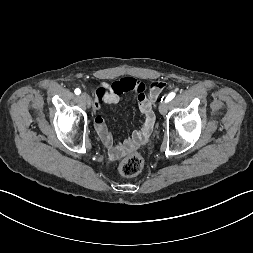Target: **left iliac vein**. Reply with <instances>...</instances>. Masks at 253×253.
<instances>
[{"instance_id": "obj_1", "label": "left iliac vein", "mask_w": 253, "mask_h": 253, "mask_svg": "<svg viewBox=\"0 0 253 253\" xmlns=\"http://www.w3.org/2000/svg\"><path fill=\"white\" fill-rule=\"evenodd\" d=\"M168 110V103L166 101H163L159 105V112L161 114H165Z\"/></svg>"}]
</instances>
